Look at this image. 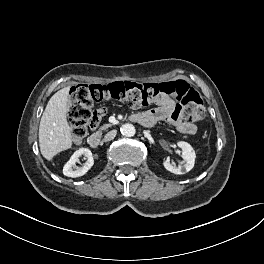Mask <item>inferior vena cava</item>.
Returning <instances> with one entry per match:
<instances>
[{"label": "inferior vena cava", "instance_id": "602c4592", "mask_svg": "<svg viewBox=\"0 0 264 264\" xmlns=\"http://www.w3.org/2000/svg\"><path fill=\"white\" fill-rule=\"evenodd\" d=\"M117 131L116 130H112L110 132H108L105 136H104V142H108L111 141L115 138Z\"/></svg>", "mask_w": 264, "mask_h": 264}]
</instances>
